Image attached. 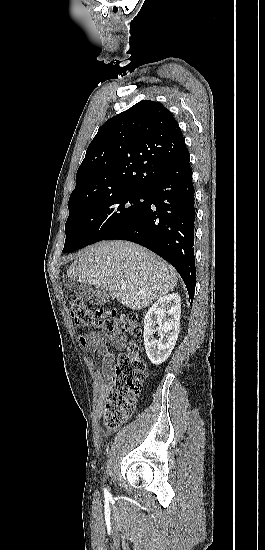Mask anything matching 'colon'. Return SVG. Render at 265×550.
<instances>
[{
    "mask_svg": "<svg viewBox=\"0 0 265 550\" xmlns=\"http://www.w3.org/2000/svg\"><path fill=\"white\" fill-rule=\"evenodd\" d=\"M69 304L75 323L85 329L141 335L135 313L94 309L77 296H71ZM144 379L145 364L139 357V347L129 343L112 365V376L104 398V423L107 427L117 428L132 415Z\"/></svg>",
    "mask_w": 265,
    "mask_h": 550,
    "instance_id": "colon-1",
    "label": "colon"
}]
</instances>
